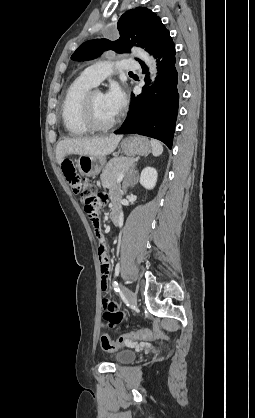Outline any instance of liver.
<instances>
[{"label":"liver","instance_id":"liver-1","mask_svg":"<svg viewBox=\"0 0 255 418\" xmlns=\"http://www.w3.org/2000/svg\"><path fill=\"white\" fill-rule=\"evenodd\" d=\"M122 135L111 134L101 138H67L61 140L56 147V159L59 165L71 154L81 156H106L115 151Z\"/></svg>","mask_w":255,"mask_h":418}]
</instances>
